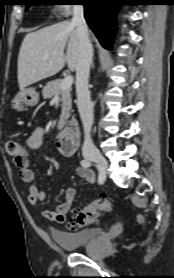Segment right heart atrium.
I'll return each instance as SVG.
<instances>
[{"label": "right heart atrium", "instance_id": "obj_1", "mask_svg": "<svg viewBox=\"0 0 174 278\" xmlns=\"http://www.w3.org/2000/svg\"><path fill=\"white\" fill-rule=\"evenodd\" d=\"M72 5H68V4H62V5H58L56 7V14L59 16V17H64V16H67L70 11L72 10Z\"/></svg>", "mask_w": 174, "mask_h": 278}]
</instances>
